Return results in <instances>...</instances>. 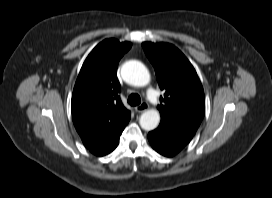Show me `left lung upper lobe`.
<instances>
[{
	"label": "left lung upper lobe",
	"mask_w": 272,
	"mask_h": 198,
	"mask_svg": "<svg viewBox=\"0 0 272 198\" xmlns=\"http://www.w3.org/2000/svg\"><path fill=\"white\" fill-rule=\"evenodd\" d=\"M160 89L161 119L196 131L205 114V96L197 73L185 55L169 43L144 42Z\"/></svg>",
	"instance_id": "obj_1"
}]
</instances>
